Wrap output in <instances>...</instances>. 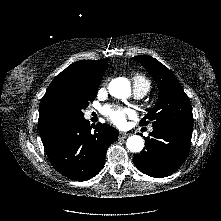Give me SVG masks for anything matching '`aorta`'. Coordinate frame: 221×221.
Here are the masks:
<instances>
[{
  "instance_id": "aorta-1",
  "label": "aorta",
  "mask_w": 221,
  "mask_h": 221,
  "mask_svg": "<svg viewBox=\"0 0 221 221\" xmlns=\"http://www.w3.org/2000/svg\"><path fill=\"white\" fill-rule=\"evenodd\" d=\"M108 90L113 97L126 99L131 94L130 82L125 77L115 78L110 82ZM126 146L131 152H140L144 148V140L139 135H132L127 139Z\"/></svg>"
}]
</instances>
